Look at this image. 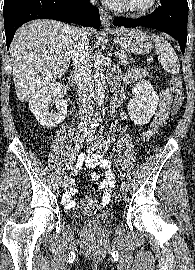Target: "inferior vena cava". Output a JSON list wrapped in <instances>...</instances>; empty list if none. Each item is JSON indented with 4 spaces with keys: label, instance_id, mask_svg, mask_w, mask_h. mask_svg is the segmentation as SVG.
<instances>
[{
    "label": "inferior vena cava",
    "instance_id": "inferior-vena-cava-1",
    "mask_svg": "<svg viewBox=\"0 0 195 270\" xmlns=\"http://www.w3.org/2000/svg\"><path fill=\"white\" fill-rule=\"evenodd\" d=\"M95 4V0H91ZM73 78L77 84L81 98V115L90 114L91 97L93 94V80L91 76V62L89 57V39L86 31L80 30L74 36L72 50ZM87 131L86 123L81 127Z\"/></svg>",
    "mask_w": 195,
    "mask_h": 270
}]
</instances>
